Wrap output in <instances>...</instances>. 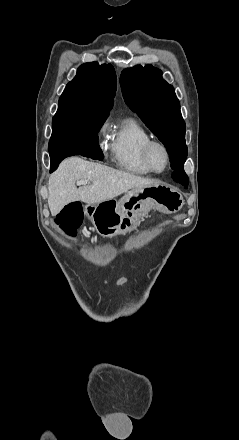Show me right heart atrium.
<instances>
[{
	"label": "right heart atrium",
	"mask_w": 239,
	"mask_h": 440,
	"mask_svg": "<svg viewBox=\"0 0 239 440\" xmlns=\"http://www.w3.org/2000/svg\"><path fill=\"white\" fill-rule=\"evenodd\" d=\"M106 125L105 124H101L98 129H97V138L99 139L100 136L102 135V133L105 131Z\"/></svg>",
	"instance_id": "right-heart-atrium-1"
}]
</instances>
